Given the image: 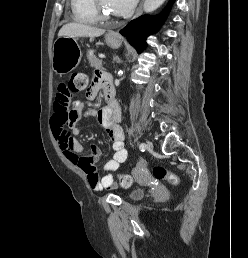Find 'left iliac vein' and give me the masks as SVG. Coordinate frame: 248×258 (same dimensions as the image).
Here are the masks:
<instances>
[{
  "label": "left iliac vein",
  "instance_id": "4c4485c4",
  "mask_svg": "<svg viewBox=\"0 0 248 258\" xmlns=\"http://www.w3.org/2000/svg\"><path fill=\"white\" fill-rule=\"evenodd\" d=\"M146 149L149 152L153 151V144L151 142H147L146 143Z\"/></svg>",
  "mask_w": 248,
  "mask_h": 258
}]
</instances>
